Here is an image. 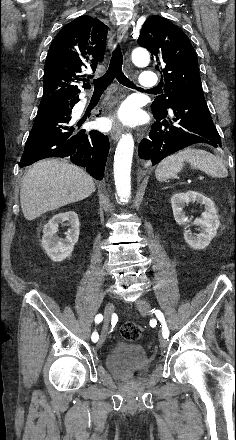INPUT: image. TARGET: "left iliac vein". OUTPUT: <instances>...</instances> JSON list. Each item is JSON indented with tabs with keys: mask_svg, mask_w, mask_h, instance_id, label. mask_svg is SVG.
<instances>
[{
	"mask_svg": "<svg viewBox=\"0 0 236 440\" xmlns=\"http://www.w3.org/2000/svg\"><path fill=\"white\" fill-rule=\"evenodd\" d=\"M136 307L142 314H151L152 313V307H151L150 303L144 299H139L136 302ZM159 342H160V346L162 348H164L167 344L166 338H164L163 336L160 337Z\"/></svg>",
	"mask_w": 236,
	"mask_h": 440,
	"instance_id": "obj_1",
	"label": "left iliac vein"
}]
</instances>
